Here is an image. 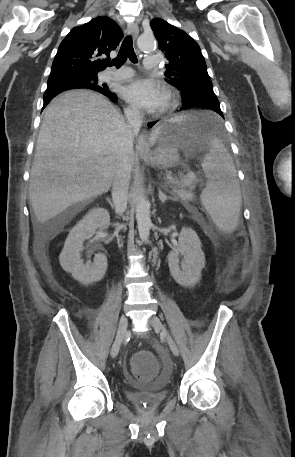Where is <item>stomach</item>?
<instances>
[{
    "instance_id": "1",
    "label": "stomach",
    "mask_w": 295,
    "mask_h": 457,
    "mask_svg": "<svg viewBox=\"0 0 295 457\" xmlns=\"http://www.w3.org/2000/svg\"><path fill=\"white\" fill-rule=\"evenodd\" d=\"M156 129L152 135L156 149L143 154L145 162L152 167L167 169L178 165L179 150L188 146H195L201 152H208L211 148L209 125L196 117L168 121Z\"/></svg>"
}]
</instances>
